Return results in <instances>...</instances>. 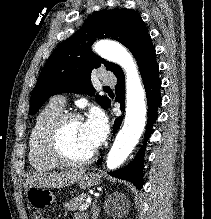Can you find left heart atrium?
<instances>
[{
  "label": "left heart atrium",
  "mask_w": 211,
  "mask_h": 219,
  "mask_svg": "<svg viewBox=\"0 0 211 219\" xmlns=\"http://www.w3.org/2000/svg\"><path fill=\"white\" fill-rule=\"evenodd\" d=\"M84 132L92 148H97L105 140L108 132L106 117L99 110H92L88 118L83 121Z\"/></svg>",
  "instance_id": "1"
}]
</instances>
